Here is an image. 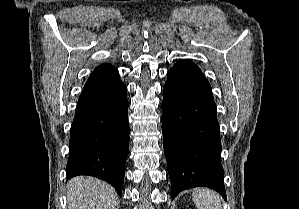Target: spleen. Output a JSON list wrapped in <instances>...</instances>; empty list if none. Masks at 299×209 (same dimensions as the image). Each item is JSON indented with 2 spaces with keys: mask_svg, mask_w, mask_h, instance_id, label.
<instances>
[{
  "mask_svg": "<svg viewBox=\"0 0 299 209\" xmlns=\"http://www.w3.org/2000/svg\"><path fill=\"white\" fill-rule=\"evenodd\" d=\"M197 209H221L219 194L209 188H198L192 194Z\"/></svg>",
  "mask_w": 299,
  "mask_h": 209,
  "instance_id": "obj_1",
  "label": "spleen"
}]
</instances>
